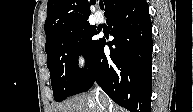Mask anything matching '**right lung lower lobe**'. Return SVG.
<instances>
[{"mask_svg":"<svg viewBox=\"0 0 193 112\" xmlns=\"http://www.w3.org/2000/svg\"><path fill=\"white\" fill-rule=\"evenodd\" d=\"M114 40L102 42L71 95L89 90L94 82L118 105L131 112H150L152 24L146 0H129L107 18Z\"/></svg>","mask_w":193,"mask_h":112,"instance_id":"98d812e1","label":"right lung lower lobe"}]
</instances>
